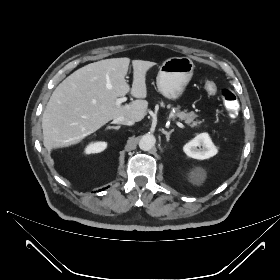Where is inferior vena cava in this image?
I'll use <instances>...</instances> for the list:
<instances>
[{
  "label": "inferior vena cava",
  "instance_id": "obj_1",
  "mask_svg": "<svg viewBox=\"0 0 280 280\" xmlns=\"http://www.w3.org/2000/svg\"><path fill=\"white\" fill-rule=\"evenodd\" d=\"M113 123L131 126L135 123V121L132 119L120 116V117L113 119Z\"/></svg>",
  "mask_w": 280,
  "mask_h": 280
}]
</instances>
